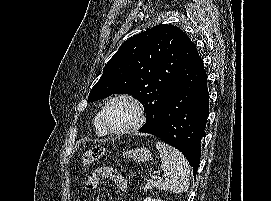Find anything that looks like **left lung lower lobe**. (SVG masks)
<instances>
[{
    "label": "left lung lower lobe",
    "mask_w": 271,
    "mask_h": 201,
    "mask_svg": "<svg viewBox=\"0 0 271 201\" xmlns=\"http://www.w3.org/2000/svg\"><path fill=\"white\" fill-rule=\"evenodd\" d=\"M209 112L207 75L203 60L185 35L180 67L174 86L162 107L156 128L141 127L174 146L187 158L196 175Z\"/></svg>",
    "instance_id": "obj_1"
}]
</instances>
